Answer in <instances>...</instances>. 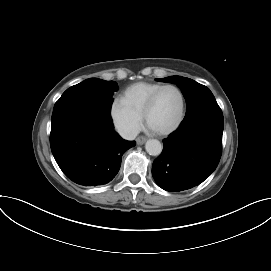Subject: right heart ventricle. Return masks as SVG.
<instances>
[{
	"label": "right heart ventricle",
	"mask_w": 271,
	"mask_h": 271,
	"mask_svg": "<svg viewBox=\"0 0 271 271\" xmlns=\"http://www.w3.org/2000/svg\"><path fill=\"white\" fill-rule=\"evenodd\" d=\"M163 85L155 82H137L124 89L121 100L135 113L142 116L150 96Z\"/></svg>",
	"instance_id": "e07e8e85"
}]
</instances>
